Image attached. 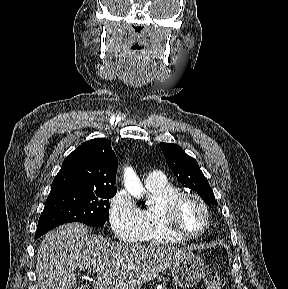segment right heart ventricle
<instances>
[{
    "mask_svg": "<svg viewBox=\"0 0 288 289\" xmlns=\"http://www.w3.org/2000/svg\"><path fill=\"white\" fill-rule=\"evenodd\" d=\"M147 189L151 196V203L141 210L144 227L140 241L153 245L183 243L185 239L172 234L164 227L161 216V208L165 200L179 193L180 189L167 180L159 185H148Z\"/></svg>",
    "mask_w": 288,
    "mask_h": 289,
    "instance_id": "1",
    "label": "right heart ventricle"
}]
</instances>
